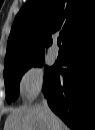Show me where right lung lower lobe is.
I'll return each instance as SVG.
<instances>
[{
  "label": "right lung lower lobe",
  "mask_w": 95,
  "mask_h": 130,
  "mask_svg": "<svg viewBox=\"0 0 95 130\" xmlns=\"http://www.w3.org/2000/svg\"><path fill=\"white\" fill-rule=\"evenodd\" d=\"M66 70L59 65L44 84L49 106L70 128L88 130L95 123V30L64 46ZM59 74L63 76L59 78Z\"/></svg>",
  "instance_id": "right-lung-lower-lobe-1"
}]
</instances>
